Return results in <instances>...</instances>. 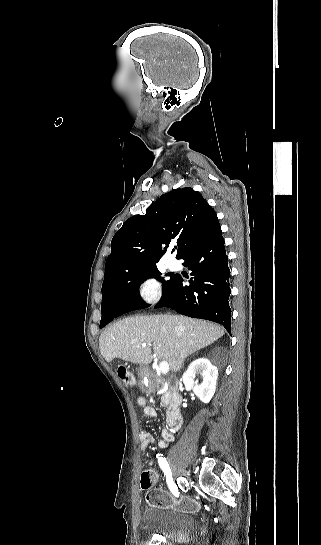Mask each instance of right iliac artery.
<instances>
[{
  "label": "right iliac artery",
  "mask_w": 321,
  "mask_h": 545,
  "mask_svg": "<svg viewBox=\"0 0 321 545\" xmlns=\"http://www.w3.org/2000/svg\"><path fill=\"white\" fill-rule=\"evenodd\" d=\"M157 458H158L159 466L161 467V469L163 470V472H164V474L166 476V482L168 484L169 489L171 490V492L175 496H179L177 486H176V484L174 483V481L172 479V472H171V469H170V467H169V465L167 463L166 458L163 457L162 454H157Z\"/></svg>",
  "instance_id": "right-iliac-artery-1"
}]
</instances>
